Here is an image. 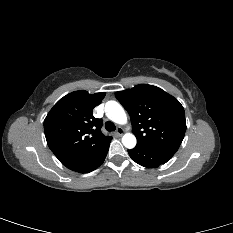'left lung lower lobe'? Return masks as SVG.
Wrapping results in <instances>:
<instances>
[{
    "label": "left lung lower lobe",
    "instance_id": "obj_1",
    "mask_svg": "<svg viewBox=\"0 0 233 233\" xmlns=\"http://www.w3.org/2000/svg\"><path fill=\"white\" fill-rule=\"evenodd\" d=\"M178 148L174 147H154L137 144L128 153L133 161L141 166L155 168L165 164L175 154Z\"/></svg>",
    "mask_w": 233,
    "mask_h": 233
}]
</instances>
